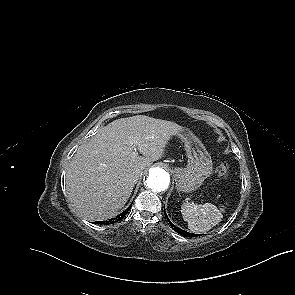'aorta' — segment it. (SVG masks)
<instances>
[{
	"mask_svg": "<svg viewBox=\"0 0 295 295\" xmlns=\"http://www.w3.org/2000/svg\"><path fill=\"white\" fill-rule=\"evenodd\" d=\"M170 183L169 172L162 167H153L149 169L146 178V186L155 192H161L168 188Z\"/></svg>",
	"mask_w": 295,
	"mask_h": 295,
	"instance_id": "obj_1",
	"label": "aorta"
}]
</instances>
